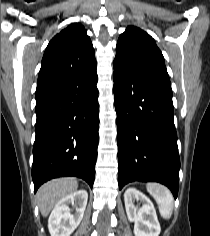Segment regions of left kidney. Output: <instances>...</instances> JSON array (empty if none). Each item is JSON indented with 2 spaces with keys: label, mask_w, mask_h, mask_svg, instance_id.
<instances>
[{
  "label": "left kidney",
  "mask_w": 210,
  "mask_h": 236,
  "mask_svg": "<svg viewBox=\"0 0 210 236\" xmlns=\"http://www.w3.org/2000/svg\"><path fill=\"white\" fill-rule=\"evenodd\" d=\"M140 201L138 210L134 201ZM124 202L129 221L134 222L135 236H159L161 227L153 203L137 189L130 187L124 193Z\"/></svg>",
  "instance_id": "obj_1"
}]
</instances>
